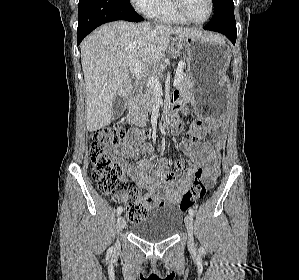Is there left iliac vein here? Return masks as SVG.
<instances>
[{
  "mask_svg": "<svg viewBox=\"0 0 299 280\" xmlns=\"http://www.w3.org/2000/svg\"><path fill=\"white\" fill-rule=\"evenodd\" d=\"M185 225L188 233V247L189 249H194V240H193V217L187 215L185 217Z\"/></svg>",
  "mask_w": 299,
  "mask_h": 280,
  "instance_id": "left-iliac-vein-1",
  "label": "left iliac vein"
}]
</instances>
